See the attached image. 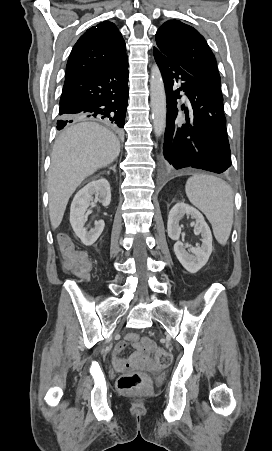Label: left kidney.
<instances>
[{"instance_id":"left-kidney-1","label":"left kidney","mask_w":272,"mask_h":451,"mask_svg":"<svg viewBox=\"0 0 272 451\" xmlns=\"http://www.w3.org/2000/svg\"><path fill=\"white\" fill-rule=\"evenodd\" d=\"M191 216L193 220H195L196 224L194 226L195 235H199L201 233V247H191L189 251L185 249V245L183 241H180V233L181 227L179 226V220L183 218V216ZM168 235L171 239H176V243H174V253L176 257H178L180 263H182L183 267L190 271V273H196L199 271L205 263H207L209 259V255L212 253V233L209 226H207L202 214L196 210V208H192V206H188V204H184V202H179V204H175L174 208L170 210L167 222Z\"/></svg>"}]
</instances>
